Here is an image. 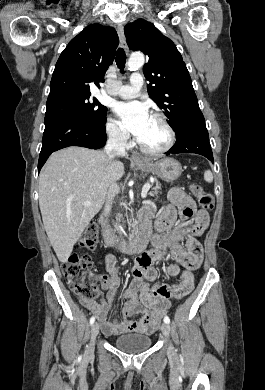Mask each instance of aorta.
<instances>
[{
	"label": "aorta",
	"mask_w": 265,
	"mask_h": 390,
	"mask_svg": "<svg viewBox=\"0 0 265 390\" xmlns=\"http://www.w3.org/2000/svg\"><path fill=\"white\" fill-rule=\"evenodd\" d=\"M145 59L142 53H133L128 60V67L131 70L139 69L144 65ZM121 228V226H119Z\"/></svg>",
	"instance_id": "762f6f07"
}]
</instances>
